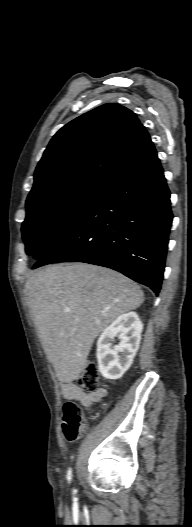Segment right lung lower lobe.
<instances>
[{
	"label": "right lung lower lobe",
	"mask_w": 192,
	"mask_h": 527,
	"mask_svg": "<svg viewBox=\"0 0 192 527\" xmlns=\"http://www.w3.org/2000/svg\"><path fill=\"white\" fill-rule=\"evenodd\" d=\"M170 191L153 143L109 179L72 227L33 266L108 267L158 295L172 224Z\"/></svg>",
	"instance_id": "right-lung-lower-lobe-1"
}]
</instances>
